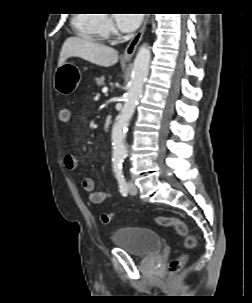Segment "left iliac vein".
<instances>
[{
  "mask_svg": "<svg viewBox=\"0 0 252 303\" xmlns=\"http://www.w3.org/2000/svg\"><path fill=\"white\" fill-rule=\"evenodd\" d=\"M128 192L131 194V195H135L137 193V188L136 186L134 185V183L132 181H129L128 182Z\"/></svg>",
  "mask_w": 252,
  "mask_h": 303,
  "instance_id": "obj_1",
  "label": "left iliac vein"
}]
</instances>
